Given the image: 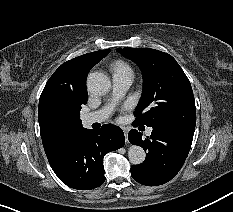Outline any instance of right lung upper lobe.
<instances>
[{"label": "right lung upper lobe", "mask_w": 233, "mask_h": 212, "mask_svg": "<svg viewBox=\"0 0 233 212\" xmlns=\"http://www.w3.org/2000/svg\"><path fill=\"white\" fill-rule=\"evenodd\" d=\"M110 49L78 56L63 63L47 81L39 100L38 119L47 158L54 157L76 130L82 127L60 120L56 111L72 103L88 99L86 78L90 69Z\"/></svg>", "instance_id": "cb5924a9"}]
</instances>
